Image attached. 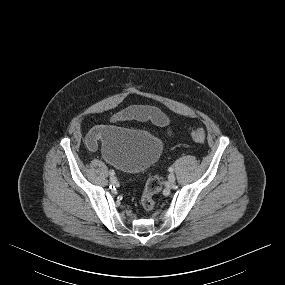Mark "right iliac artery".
<instances>
[{
  "label": "right iliac artery",
  "instance_id": "right-iliac-artery-1",
  "mask_svg": "<svg viewBox=\"0 0 285 285\" xmlns=\"http://www.w3.org/2000/svg\"><path fill=\"white\" fill-rule=\"evenodd\" d=\"M109 174H110L111 176L115 175L114 170H110V171H109Z\"/></svg>",
  "mask_w": 285,
  "mask_h": 285
}]
</instances>
